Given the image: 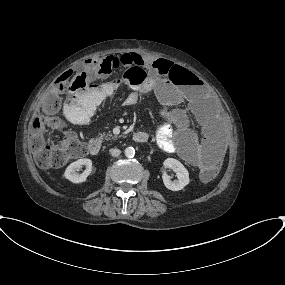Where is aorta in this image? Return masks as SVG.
<instances>
[{
    "label": "aorta",
    "mask_w": 285,
    "mask_h": 285,
    "mask_svg": "<svg viewBox=\"0 0 285 285\" xmlns=\"http://www.w3.org/2000/svg\"><path fill=\"white\" fill-rule=\"evenodd\" d=\"M125 156L128 158H132L135 155V149L133 147H127L124 151Z\"/></svg>",
    "instance_id": "obj_1"
}]
</instances>
